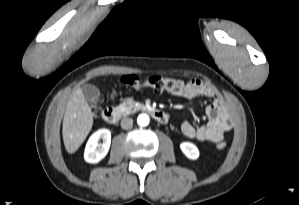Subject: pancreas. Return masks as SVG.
Wrapping results in <instances>:
<instances>
[{
  "label": "pancreas",
  "mask_w": 299,
  "mask_h": 205,
  "mask_svg": "<svg viewBox=\"0 0 299 205\" xmlns=\"http://www.w3.org/2000/svg\"><path fill=\"white\" fill-rule=\"evenodd\" d=\"M143 108H144L143 104H141L139 102H135L134 100H131V99L123 101L118 106V109L126 115L135 113L136 111L142 110Z\"/></svg>",
  "instance_id": "1"
}]
</instances>
